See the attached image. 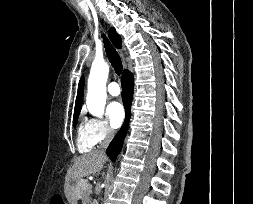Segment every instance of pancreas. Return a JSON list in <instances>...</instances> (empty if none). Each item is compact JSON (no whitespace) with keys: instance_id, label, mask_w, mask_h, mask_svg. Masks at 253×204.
<instances>
[{"instance_id":"1","label":"pancreas","mask_w":253,"mask_h":204,"mask_svg":"<svg viewBox=\"0 0 253 204\" xmlns=\"http://www.w3.org/2000/svg\"><path fill=\"white\" fill-rule=\"evenodd\" d=\"M86 184H89L86 179H80L76 187V193L80 195L84 201H88L89 195L92 193V187L90 185L86 187Z\"/></svg>"}]
</instances>
